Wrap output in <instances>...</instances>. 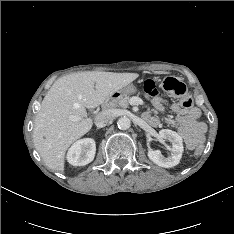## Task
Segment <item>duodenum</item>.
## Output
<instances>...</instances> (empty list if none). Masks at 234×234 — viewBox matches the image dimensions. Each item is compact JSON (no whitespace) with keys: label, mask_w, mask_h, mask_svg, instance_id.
<instances>
[{"label":"duodenum","mask_w":234,"mask_h":234,"mask_svg":"<svg viewBox=\"0 0 234 234\" xmlns=\"http://www.w3.org/2000/svg\"><path fill=\"white\" fill-rule=\"evenodd\" d=\"M119 97H120L119 93L112 94L104 101L102 108L105 110L112 108L115 102L119 99Z\"/></svg>","instance_id":"obj_1"}]
</instances>
